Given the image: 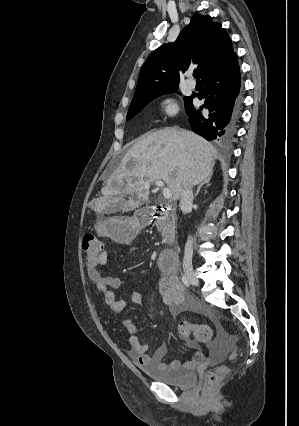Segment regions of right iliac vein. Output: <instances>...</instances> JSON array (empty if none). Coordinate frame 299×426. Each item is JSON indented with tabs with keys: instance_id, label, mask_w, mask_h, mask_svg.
<instances>
[{
	"instance_id": "right-iliac-vein-1",
	"label": "right iliac vein",
	"mask_w": 299,
	"mask_h": 426,
	"mask_svg": "<svg viewBox=\"0 0 299 426\" xmlns=\"http://www.w3.org/2000/svg\"><path fill=\"white\" fill-rule=\"evenodd\" d=\"M184 272H185V275L187 276L188 280L193 285L197 286L199 284V281H198L197 277L195 276L192 267L185 265L184 266Z\"/></svg>"
}]
</instances>
